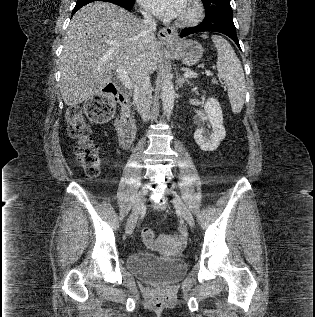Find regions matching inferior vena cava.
<instances>
[{
    "mask_svg": "<svg viewBox=\"0 0 315 317\" xmlns=\"http://www.w3.org/2000/svg\"><path fill=\"white\" fill-rule=\"evenodd\" d=\"M144 35L153 37L156 31V22L150 13H143ZM133 99L141 118L146 121L150 118V97L152 86L149 73L145 72L135 79Z\"/></svg>",
    "mask_w": 315,
    "mask_h": 317,
    "instance_id": "inferior-vena-cava-1",
    "label": "inferior vena cava"
}]
</instances>
